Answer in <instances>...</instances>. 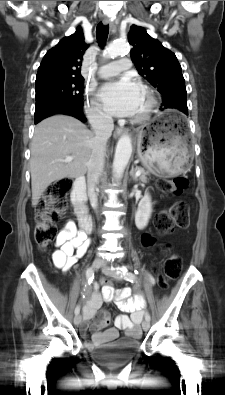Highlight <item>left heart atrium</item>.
<instances>
[{"label": "left heart atrium", "instance_id": "39dd6f15", "mask_svg": "<svg viewBox=\"0 0 225 395\" xmlns=\"http://www.w3.org/2000/svg\"><path fill=\"white\" fill-rule=\"evenodd\" d=\"M142 89L140 85L129 77L103 85L99 91V98L105 110L114 116L135 115Z\"/></svg>", "mask_w": 225, "mask_h": 395}]
</instances>
